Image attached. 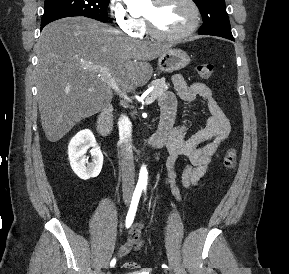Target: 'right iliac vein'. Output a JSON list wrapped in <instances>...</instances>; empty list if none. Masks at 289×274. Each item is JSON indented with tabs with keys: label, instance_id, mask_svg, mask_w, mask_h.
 <instances>
[{
	"label": "right iliac vein",
	"instance_id": "1",
	"mask_svg": "<svg viewBox=\"0 0 289 274\" xmlns=\"http://www.w3.org/2000/svg\"><path fill=\"white\" fill-rule=\"evenodd\" d=\"M127 203H129V199H127Z\"/></svg>",
	"mask_w": 289,
	"mask_h": 274
}]
</instances>
